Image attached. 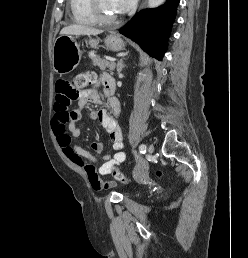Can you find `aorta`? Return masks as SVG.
<instances>
[{
    "instance_id": "1",
    "label": "aorta",
    "mask_w": 248,
    "mask_h": 258,
    "mask_svg": "<svg viewBox=\"0 0 248 258\" xmlns=\"http://www.w3.org/2000/svg\"><path fill=\"white\" fill-rule=\"evenodd\" d=\"M165 0H148V7L155 8L163 4Z\"/></svg>"
}]
</instances>
